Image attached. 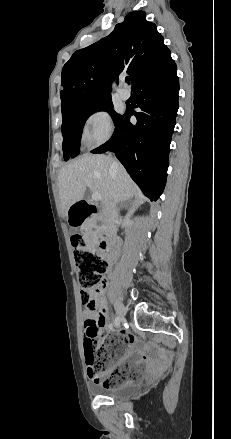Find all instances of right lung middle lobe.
<instances>
[{"label":"right lung middle lobe","instance_id":"obj_1","mask_svg":"<svg viewBox=\"0 0 231 439\" xmlns=\"http://www.w3.org/2000/svg\"><path fill=\"white\" fill-rule=\"evenodd\" d=\"M97 111H107L114 123L121 115L113 110L111 98L92 100L77 104L62 112L63 155L65 161L79 154L82 130L87 118Z\"/></svg>","mask_w":231,"mask_h":439}]
</instances>
